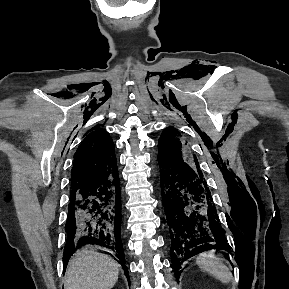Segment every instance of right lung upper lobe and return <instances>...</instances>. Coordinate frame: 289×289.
Listing matches in <instances>:
<instances>
[{"label": "right lung upper lobe", "mask_w": 289, "mask_h": 289, "mask_svg": "<svg viewBox=\"0 0 289 289\" xmlns=\"http://www.w3.org/2000/svg\"><path fill=\"white\" fill-rule=\"evenodd\" d=\"M117 171L114 144L109 133L98 127L90 129L74 155L71 190Z\"/></svg>", "instance_id": "obj_1"}]
</instances>
